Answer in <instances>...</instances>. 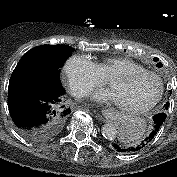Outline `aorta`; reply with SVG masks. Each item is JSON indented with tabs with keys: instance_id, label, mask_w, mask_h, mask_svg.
<instances>
[{
	"instance_id": "obj_1",
	"label": "aorta",
	"mask_w": 177,
	"mask_h": 177,
	"mask_svg": "<svg viewBox=\"0 0 177 177\" xmlns=\"http://www.w3.org/2000/svg\"><path fill=\"white\" fill-rule=\"evenodd\" d=\"M118 130L114 124L108 123L102 127V135L108 140H114L117 136Z\"/></svg>"
}]
</instances>
